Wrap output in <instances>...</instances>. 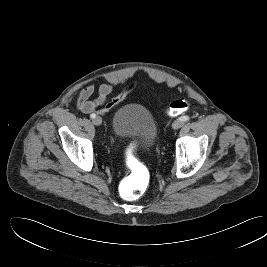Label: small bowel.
<instances>
[{
    "instance_id": "1",
    "label": "small bowel",
    "mask_w": 267,
    "mask_h": 267,
    "mask_svg": "<svg viewBox=\"0 0 267 267\" xmlns=\"http://www.w3.org/2000/svg\"><path fill=\"white\" fill-rule=\"evenodd\" d=\"M130 89L131 86L125 88L116 96L109 98L114 91V86L112 83H104L99 86L97 97L92 98L95 87L92 84H88L79 93L77 109L83 114L97 112L99 115H106L126 98Z\"/></svg>"
}]
</instances>
